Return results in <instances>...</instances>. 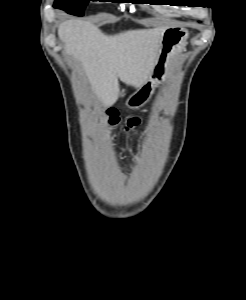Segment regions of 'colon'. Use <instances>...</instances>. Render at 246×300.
I'll use <instances>...</instances> for the list:
<instances>
[{
	"instance_id": "5ec220e1",
	"label": "colon",
	"mask_w": 246,
	"mask_h": 300,
	"mask_svg": "<svg viewBox=\"0 0 246 300\" xmlns=\"http://www.w3.org/2000/svg\"><path fill=\"white\" fill-rule=\"evenodd\" d=\"M117 122V113L112 111L109 113V124L115 125ZM141 124V119L138 117L129 118L118 132H113V138H119L125 135L135 134Z\"/></svg>"
}]
</instances>
